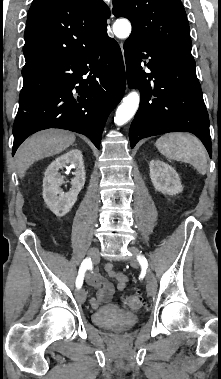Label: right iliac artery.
I'll list each match as a JSON object with an SVG mask.
<instances>
[{"instance_id":"1","label":"right iliac artery","mask_w":221,"mask_h":379,"mask_svg":"<svg viewBox=\"0 0 221 379\" xmlns=\"http://www.w3.org/2000/svg\"><path fill=\"white\" fill-rule=\"evenodd\" d=\"M91 267H92L91 258H86L81 263V266H80L79 272H78V276H77V279H76V287L78 289H80L81 286H82V284H83L84 274H85L86 270L89 269V268H91Z\"/></svg>"}]
</instances>
